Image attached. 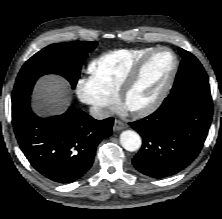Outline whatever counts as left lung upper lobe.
I'll use <instances>...</instances> for the list:
<instances>
[{"label":"left lung upper lobe","mask_w":222,"mask_h":219,"mask_svg":"<svg viewBox=\"0 0 222 219\" xmlns=\"http://www.w3.org/2000/svg\"><path fill=\"white\" fill-rule=\"evenodd\" d=\"M179 53L182 61L171 93L193 91L211 97L208 77L201 63L186 50L179 48Z\"/></svg>","instance_id":"1"}]
</instances>
